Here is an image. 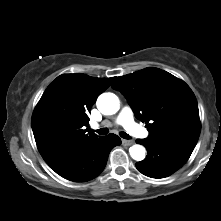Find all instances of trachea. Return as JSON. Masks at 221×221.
<instances>
[{"mask_svg": "<svg viewBox=\"0 0 221 221\" xmlns=\"http://www.w3.org/2000/svg\"><path fill=\"white\" fill-rule=\"evenodd\" d=\"M96 132L99 135H106L108 133V129L107 128H101L99 130H96ZM120 136L124 139H130V136L125 132H120Z\"/></svg>", "mask_w": 221, "mask_h": 221, "instance_id": "trachea-1", "label": "trachea"}]
</instances>
